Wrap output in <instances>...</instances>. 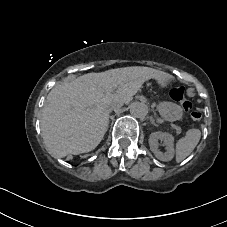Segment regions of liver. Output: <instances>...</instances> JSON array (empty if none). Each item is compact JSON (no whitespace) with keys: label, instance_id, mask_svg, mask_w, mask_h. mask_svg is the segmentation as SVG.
Returning <instances> with one entry per match:
<instances>
[{"label":"liver","instance_id":"1","mask_svg":"<svg viewBox=\"0 0 227 227\" xmlns=\"http://www.w3.org/2000/svg\"><path fill=\"white\" fill-rule=\"evenodd\" d=\"M157 72L148 67L117 68L56 85L47 95L40 122L48 152L62 158L95 149L107 131L113 88L130 99Z\"/></svg>","mask_w":227,"mask_h":227}]
</instances>
